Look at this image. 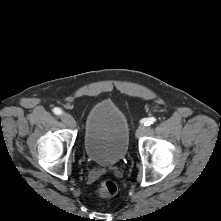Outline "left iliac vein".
Instances as JSON below:
<instances>
[{"label":"left iliac vein","mask_w":221,"mask_h":221,"mask_svg":"<svg viewBox=\"0 0 221 221\" xmlns=\"http://www.w3.org/2000/svg\"><path fill=\"white\" fill-rule=\"evenodd\" d=\"M148 130H149L148 127L142 125V126H140V127L137 129V131H136V136H137V137H141V136H143Z\"/></svg>","instance_id":"obj_1"}]
</instances>
